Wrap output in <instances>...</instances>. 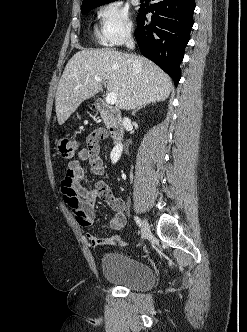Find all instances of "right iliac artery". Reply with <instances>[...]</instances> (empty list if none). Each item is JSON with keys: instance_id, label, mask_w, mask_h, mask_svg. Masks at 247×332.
<instances>
[{"instance_id": "right-iliac-artery-1", "label": "right iliac artery", "mask_w": 247, "mask_h": 332, "mask_svg": "<svg viewBox=\"0 0 247 332\" xmlns=\"http://www.w3.org/2000/svg\"><path fill=\"white\" fill-rule=\"evenodd\" d=\"M134 219H135V221H136L137 225H138L139 227H141L142 223H141V220H140V218H139V217H137V216H135V217H134Z\"/></svg>"}]
</instances>
